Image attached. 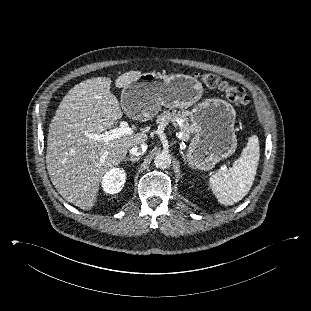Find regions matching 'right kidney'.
Returning <instances> with one entry per match:
<instances>
[{
    "label": "right kidney",
    "mask_w": 311,
    "mask_h": 311,
    "mask_svg": "<svg viewBox=\"0 0 311 311\" xmlns=\"http://www.w3.org/2000/svg\"><path fill=\"white\" fill-rule=\"evenodd\" d=\"M126 180V173L122 168L109 169L102 178V188L107 194L120 192Z\"/></svg>",
    "instance_id": "obj_1"
}]
</instances>
